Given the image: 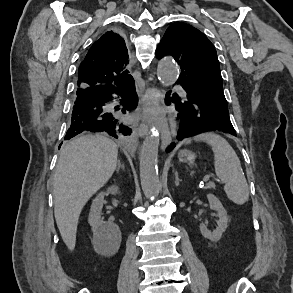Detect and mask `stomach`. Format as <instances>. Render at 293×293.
<instances>
[{"label":"stomach","mask_w":293,"mask_h":293,"mask_svg":"<svg viewBox=\"0 0 293 293\" xmlns=\"http://www.w3.org/2000/svg\"><path fill=\"white\" fill-rule=\"evenodd\" d=\"M180 162H187L188 164H193L195 160V154L189 150H181L178 154Z\"/></svg>","instance_id":"1"}]
</instances>
